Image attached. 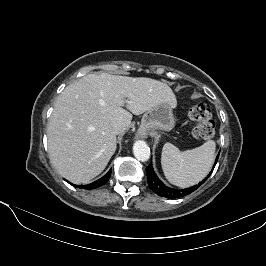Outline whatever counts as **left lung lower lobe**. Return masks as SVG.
Listing matches in <instances>:
<instances>
[{
    "instance_id": "obj_1",
    "label": "left lung lower lobe",
    "mask_w": 266,
    "mask_h": 266,
    "mask_svg": "<svg viewBox=\"0 0 266 266\" xmlns=\"http://www.w3.org/2000/svg\"><path fill=\"white\" fill-rule=\"evenodd\" d=\"M219 155H217V158L215 160L214 166L212 168V171L217 163ZM212 171L209 173V175L203 180L201 181L199 184L192 186L190 188H186V189H173L170 188L168 186H166L165 184H163L158 177L156 176L152 164L150 163L149 166L146 167V173H147V180H148V185L149 188L155 192L157 195L165 197V198H180L183 197L185 195H188L190 193H192L193 191H195L200 185H202L207 179L208 177L211 175Z\"/></svg>"
}]
</instances>
